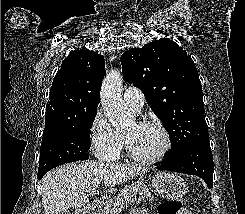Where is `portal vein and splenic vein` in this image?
Returning a JSON list of instances; mask_svg holds the SVG:
<instances>
[{"instance_id": "18ae733b", "label": "portal vein and splenic vein", "mask_w": 245, "mask_h": 214, "mask_svg": "<svg viewBox=\"0 0 245 214\" xmlns=\"http://www.w3.org/2000/svg\"><path fill=\"white\" fill-rule=\"evenodd\" d=\"M96 194V188H92L91 189V195H95Z\"/></svg>"}]
</instances>
